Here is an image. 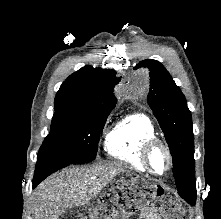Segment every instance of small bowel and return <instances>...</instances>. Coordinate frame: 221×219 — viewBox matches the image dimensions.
Returning <instances> with one entry per match:
<instances>
[{"label":"small bowel","mask_w":221,"mask_h":219,"mask_svg":"<svg viewBox=\"0 0 221 219\" xmlns=\"http://www.w3.org/2000/svg\"><path fill=\"white\" fill-rule=\"evenodd\" d=\"M139 219H156L155 210L153 208L145 209Z\"/></svg>","instance_id":"obj_1"}]
</instances>
